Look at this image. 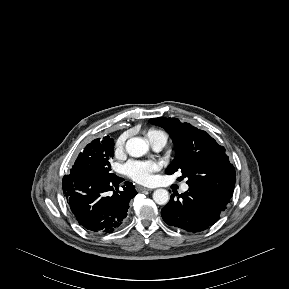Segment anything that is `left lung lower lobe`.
I'll return each instance as SVG.
<instances>
[{
  "label": "left lung lower lobe",
  "mask_w": 289,
  "mask_h": 289,
  "mask_svg": "<svg viewBox=\"0 0 289 289\" xmlns=\"http://www.w3.org/2000/svg\"><path fill=\"white\" fill-rule=\"evenodd\" d=\"M161 210L169 225L189 232H200L216 223L230 199L189 187L184 194H175Z\"/></svg>",
  "instance_id": "1"
}]
</instances>
